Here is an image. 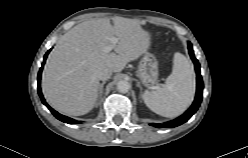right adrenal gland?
<instances>
[{
	"mask_svg": "<svg viewBox=\"0 0 248 158\" xmlns=\"http://www.w3.org/2000/svg\"><path fill=\"white\" fill-rule=\"evenodd\" d=\"M105 83H106V82L103 81V82L99 85V96H98L99 99H101V97H102L103 87H104Z\"/></svg>",
	"mask_w": 248,
	"mask_h": 158,
	"instance_id": "right-adrenal-gland-1",
	"label": "right adrenal gland"
}]
</instances>
